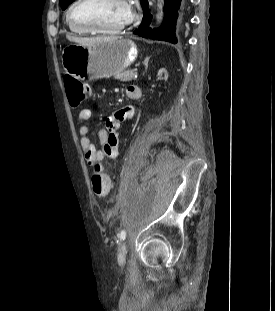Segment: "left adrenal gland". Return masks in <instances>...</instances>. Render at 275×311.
<instances>
[{
  "instance_id": "1",
  "label": "left adrenal gland",
  "mask_w": 275,
  "mask_h": 311,
  "mask_svg": "<svg viewBox=\"0 0 275 311\" xmlns=\"http://www.w3.org/2000/svg\"><path fill=\"white\" fill-rule=\"evenodd\" d=\"M150 57H146L143 64L147 67Z\"/></svg>"
}]
</instances>
